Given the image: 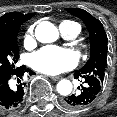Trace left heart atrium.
Returning a JSON list of instances; mask_svg holds the SVG:
<instances>
[{
	"instance_id": "left-heart-atrium-1",
	"label": "left heart atrium",
	"mask_w": 117,
	"mask_h": 117,
	"mask_svg": "<svg viewBox=\"0 0 117 117\" xmlns=\"http://www.w3.org/2000/svg\"><path fill=\"white\" fill-rule=\"evenodd\" d=\"M77 63L75 54L66 48L46 46L31 56L30 64L35 70L56 75L73 68Z\"/></svg>"
}]
</instances>
